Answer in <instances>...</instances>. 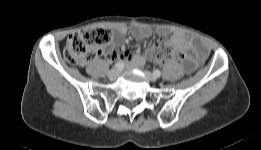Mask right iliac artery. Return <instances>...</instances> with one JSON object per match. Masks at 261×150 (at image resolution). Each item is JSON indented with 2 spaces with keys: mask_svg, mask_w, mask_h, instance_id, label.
Returning <instances> with one entry per match:
<instances>
[{
  "mask_svg": "<svg viewBox=\"0 0 261 150\" xmlns=\"http://www.w3.org/2000/svg\"><path fill=\"white\" fill-rule=\"evenodd\" d=\"M114 67H115V68H118V69H121V68L124 67V63H123V62H118V63L115 64Z\"/></svg>",
  "mask_w": 261,
  "mask_h": 150,
  "instance_id": "obj_1",
  "label": "right iliac artery"
}]
</instances>
